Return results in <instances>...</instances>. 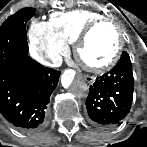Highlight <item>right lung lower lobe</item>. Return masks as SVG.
Listing matches in <instances>:
<instances>
[{
	"mask_svg": "<svg viewBox=\"0 0 147 147\" xmlns=\"http://www.w3.org/2000/svg\"><path fill=\"white\" fill-rule=\"evenodd\" d=\"M59 75L60 72L45 68L29 56L13 60L0 69V112L22 131L42 129Z\"/></svg>",
	"mask_w": 147,
	"mask_h": 147,
	"instance_id": "right-lung-lower-lobe-1",
	"label": "right lung lower lobe"
}]
</instances>
